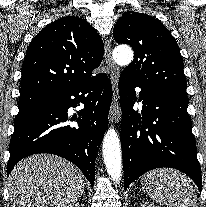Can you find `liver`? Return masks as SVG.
Returning a JSON list of instances; mask_svg holds the SVG:
<instances>
[{
    "label": "liver",
    "instance_id": "obj_1",
    "mask_svg": "<svg viewBox=\"0 0 206 207\" xmlns=\"http://www.w3.org/2000/svg\"><path fill=\"white\" fill-rule=\"evenodd\" d=\"M12 207H70L84 192V176L71 162L50 154L27 157L9 177Z\"/></svg>",
    "mask_w": 206,
    "mask_h": 207
}]
</instances>
